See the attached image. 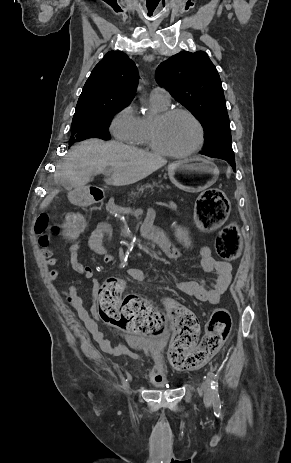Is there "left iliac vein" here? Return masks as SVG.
Here are the masks:
<instances>
[{
  "label": "left iliac vein",
  "instance_id": "left-iliac-vein-1",
  "mask_svg": "<svg viewBox=\"0 0 291 463\" xmlns=\"http://www.w3.org/2000/svg\"><path fill=\"white\" fill-rule=\"evenodd\" d=\"M202 388H203V391H204V402L207 405H210L211 402H212L213 393H212V389H211V383H210V381L208 379H205L203 381Z\"/></svg>",
  "mask_w": 291,
  "mask_h": 463
}]
</instances>
